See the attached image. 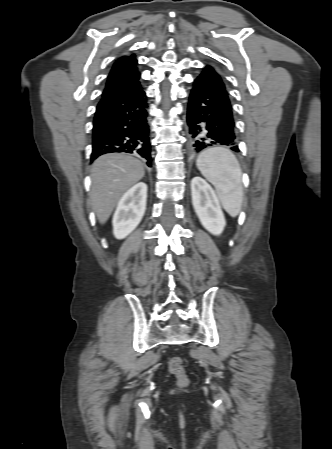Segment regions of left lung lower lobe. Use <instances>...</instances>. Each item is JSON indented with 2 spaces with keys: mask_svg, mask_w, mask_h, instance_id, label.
Returning a JSON list of instances; mask_svg holds the SVG:
<instances>
[{
  "mask_svg": "<svg viewBox=\"0 0 332 449\" xmlns=\"http://www.w3.org/2000/svg\"><path fill=\"white\" fill-rule=\"evenodd\" d=\"M189 151L218 145L239 152L232 105L221 76L209 65L194 79L187 108Z\"/></svg>",
  "mask_w": 332,
  "mask_h": 449,
  "instance_id": "obj_1",
  "label": "left lung lower lobe"
}]
</instances>
